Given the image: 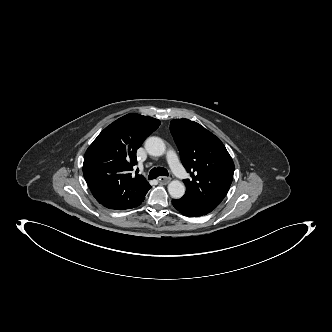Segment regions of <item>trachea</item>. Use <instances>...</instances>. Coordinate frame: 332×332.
Instances as JSON below:
<instances>
[{
	"instance_id": "3493384b",
	"label": "trachea",
	"mask_w": 332,
	"mask_h": 332,
	"mask_svg": "<svg viewBox=\"0 0 332 332\" xmlns=\"http://www.w3.org/2000/svg\"><path fill=\"white\" fill-rule=\"evenodd\" d=\"M158 176H168L167 169L162 168V167H157V168L155 167V168L151 169L148 179L152 180V179L157 178Z\"/></svg>"
}]
</instances>
